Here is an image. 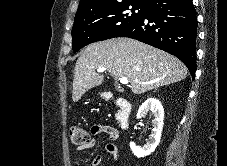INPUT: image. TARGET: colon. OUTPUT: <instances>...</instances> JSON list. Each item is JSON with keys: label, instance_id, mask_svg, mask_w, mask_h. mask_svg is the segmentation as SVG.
<instances>
[{"label": "colon", "instance_id": "5ec220e1", "mask_svg": "<svg viewBox=\"0 0 227 166\" xmlns=\"http://www.w3.org/2000/svg\"><path fill=\"white\" fill-rule=\"evenodd\" d=\"M69 136L72 145L86 146L91 142L90 134L81 126L74 125L69 129Z\"/></svg>", "mask_w": 227, "mask_h": 166}]
</instances>
